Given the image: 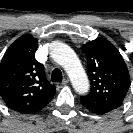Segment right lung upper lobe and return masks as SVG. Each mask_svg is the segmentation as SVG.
Instances as JSON below:
<instances>
[{
    "label": "right lung upper lobe",
    "instance_id": "right-lung-upper-lobe-1",
    "mask_svg": "<svg viewBox=\"0 0 133 133\" xmlns=\"http://www.w3.org/2000/svg\"><path fill=\"white\" fill-rule=\"evenodd\" d=\"M38 41L30 35L17 39L0 63V96L14 111L31 114L44 108L55 95L44 66L36 61Z\"/></svg>",
    "mask_w": 133,
    "mask_h": 133
}]
</instances>
